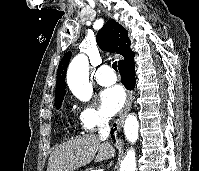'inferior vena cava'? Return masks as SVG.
Wrapping results in <instances>:
<instances>
[{"mask_svg":"<svg viewBox=\"0 0 199 171\" xmlns=\"http://www.w3.org/2000/svg\"><path fill=\"white\" fill-rule=\"evenodd\" d=\"M99 137L102 140H106L110 135V126L109 121L105 117L100 118L99 128H98Z\"/></svg>","mask_w":199,"mask_h":171,"instance_id":"602c4592","label":"inferior vena cava"}]
</instances>
